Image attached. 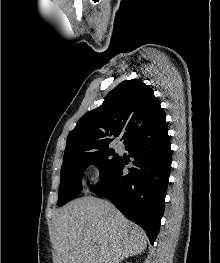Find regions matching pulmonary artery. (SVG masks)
I'll list each match as a JSON object with an SVG mask.
<instances>
[{
    "label": "pulmonary artery",
    "mask_w": 220,
    "mask_h": 263,
    "mask_svg": "<svg viewBox=\"0 0 220 263\" xmlns=\"http://www.w3.org/2000/svg\"><path fill=\"white\" fill-rule=\"evenodd\" d=\"M117 151L121 152L122 151V145L118 144L117 147H116Z\"/></svg>",
    "instance_id": "pulmonary-artery-1"
}]
</instances>
